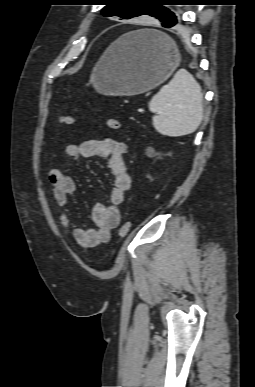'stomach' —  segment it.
<instances>
[{
	"instance_id": "0dacf381",
	"label": "stomach",
	"mask_w": 255,
	"mask_h": 387,
	"mask_svg": "<svg viewBox=\"0 0 255 387\" xmlns=\"http://www.w3.org/2000/svg\"><path fill=\"white\" fill-rule=\"evenodd\" d=\"M153 33L156 39H143ZM180 53L165 34L140 30L117 39L103 54L91 74L94 88L105 95H136L164 82L178 67Z\"/></svg>"
}]
</instances>
